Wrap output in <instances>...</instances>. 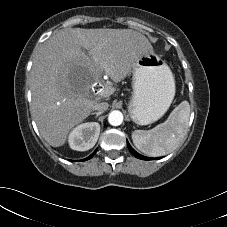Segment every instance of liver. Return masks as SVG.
Here are the masks:
<instances>
[{
	"label": "liver",
	"instance_id": "liver-1",
	"mask_svg": "<svg viewBox=\"0 0 227 227\" xmlns=\"http://www.w3.org/2000/svg\"><path fill=\"white\" fill-rule=\"evenodd\" d=\"M146 53H153L152 45L131 29L74 28L49 38L36 54L30 73L31 113L41 136L53 147L64 145L93 105L116 91L105 84L93 92L99 72L118 83Z\"/></svg>",
	"mask_w": 227,
	"mask_h": 227
}]
</instances>
